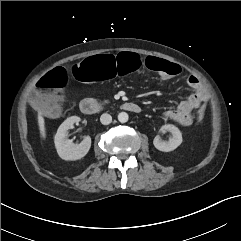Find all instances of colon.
I'll list each match as a JSON object with an SVG mask.
<instances>
[{
	"instance_id": "5ec220e1",
	"label": "colon",
	"mask_w": 241,
	"mask_h": 241,
	"mask_svg": "<svg viewBox=\"0 0 241 241\" xmlns=\"http://www.w3.org/2000/svg\"><path fill=\"white\" fill-rule=\"evenodd\" d=\"M145 65L158 73L163 79H174L181 74L179 65L166 59L148 57ZM143 61L133 51H111L83 58L76 62L71 70L73 78L81 83H94L111 77L126 76L139 71ZM67 75L62 68H56L42 77L36 88L32 103L39 111L57 116L63 101L62 90L66 86ZM205 107L198 112V119L203 120Z\"/></svg>"
}]
</instances>
